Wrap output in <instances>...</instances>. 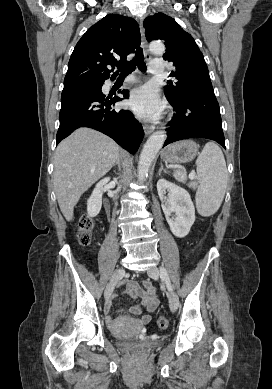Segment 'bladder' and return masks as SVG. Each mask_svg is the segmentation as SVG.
<instances>
[{
    "instance_id": "bladder-1",
    "label": "bladder",
    "mask_w": 272,
    "mask_h": 389,
    "mask_svg": "<svg viewBox=\"0 0 272 389\" xmlns=\"http://www.w3.org/2000/svg\"><path fill=\"white\" fill-rule=\"evenodd\" d=\"M110 334L114 337L118 336V334L113 331H111ZM116 342L120 348L126 351L150 349L161 344L160 341H134L130 339H116Z\"/></svg>"
}]
</instances>
